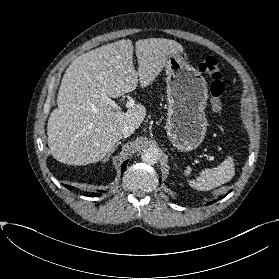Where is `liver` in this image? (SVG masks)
I'll list each match as a JSON object with an SVG mask.
<instances>
[{"label":"liver","mask_w":279,"mask_h":279,"mask_svg":"<svg viewBox=\"0 0 279 279\" xmlns=\"http://www.w3.org/2000/svg\"><path fill=\"white\" fill-rule=\"evenodd\" d=\"M135 48L138 71L129 39L86 52L69 65L57 96L58 107L47 124L48 146L56 160L68 165L100 161L114 148L125 126L140 127L146 115L143 105L123 112L103 98L134 91L138 81L147 87L165 68L168 56L183 52V47L174 40L149 38L138 40Z\"/></svg>","instance_id":"obj_1"}]
</instances>
